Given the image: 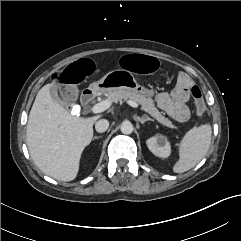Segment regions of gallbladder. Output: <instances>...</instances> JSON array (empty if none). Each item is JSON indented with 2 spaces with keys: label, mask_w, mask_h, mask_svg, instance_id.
I'll return each instance as SVG.
<instances>
[{
  "label": "gallbladder",
  "mask_w": 241,
  "mask_h": 241,
  "mask_svg": "<svg viewBox=\"0 0 241 241\" xmlns=\"http://www.w3.org/2000/svg\"><path fill=\"white\" fill-rule=\"evenodd\" d=\"M59 88H60V85L57 84V83H54V84L51 85V87H50V94H51L52 98L56 102H58V103H60L62 105H65L67 107L70 106L71 105L70 101L71 100L75 101L77 99V97H78V90H77V88L76 87H69L68 88V92L70 93L69 98L68 99L65 98L64 100H61L59 98V96H58V89Z\"/></svg>",
  "instance_id": "1"
}]
</instances>
